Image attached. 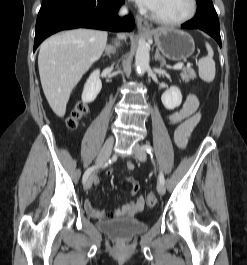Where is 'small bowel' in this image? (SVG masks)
<instances>
[{"instance_id":"1","label":"small bowel","mask_w":247,"mask_h":265,"mask_svg":"<svg viewBox=\"0 0 247 265\" xmlns=\"http://www.w3.org/2000/svg\"><path fill=\"white\" fill-rule=\"evenodd\" d=\"M198 108L199 100L197 96L193 93H189L182 107L167 116L170 123L179 124L175 131L174 139L180 149H185L189 138L201 120L202 114L198 111ZM128 168L132 170L134 165L129 162ZM108 174H110V172H108ZM94 183L97 184L98 180L95 179ZM84 207L88 214L97 219H112L124 216H135L144 209L145 200L142 196H139L111 211L99 210L89 200H85Z\"/></svg>"}]
</instances>
